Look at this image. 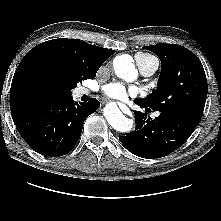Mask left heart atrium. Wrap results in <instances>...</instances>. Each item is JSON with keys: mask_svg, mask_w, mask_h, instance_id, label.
<instances>
[{"mask_svg": "<svg viewBox=\"0 0 221 221\" xmlns=\"http://www.w3.org/2000/svg\"><path fill=\"white\" fill-rule=\"evenodd\" d=\"M104 92L107 96L114 99L124 100L128 96L129 92L124 85L120 83H112L105 87Z\"/></svg>", "mask_w": 221, "mask_h": 221, "instance_id": "left-heart-atrium-1", "label": "left heart atrium"}]
</instances>
